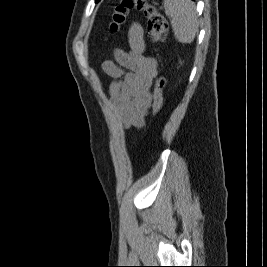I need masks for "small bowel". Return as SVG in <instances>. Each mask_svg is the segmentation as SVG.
<instances>
[{"label": "small bowel", "instance_id": "obj_1", "mask_svg": "<svg viewBox=\"0 0 267 267\" xmlns=\"http://www.w3.org/2000/svg\"><path fill=\"white\" fill-rule=\"evenodd\" d=\"M128 44L127 51L115 50L114 61H104L102 69L113 78L110 102L118 120L126 128H142L152 102L150 87L158 74V65L145 54L144 30L139 23L131 25Z\"/></svg>", "mask_w": 267, "mask_h": 267}]
</instances>
